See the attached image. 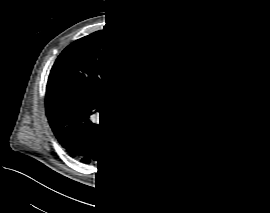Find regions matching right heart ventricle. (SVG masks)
<instances>
[{
    "label": "right heart ventricle",
    "mask_w": 270,
    "mask_h": 213,
    "mask_svg": "<svg viewBox=\"0 0 270 213\" xmlns=\"http://www.w3.org/2000/svg\"><path fill=\"white\" fill-rule=\"evenodd\" d=\"M160 44H161V42H160L159 40L154 41V45H155L156 47H159Z\"/></svg>",
    "instance_id": "right-heart-ventricle-1"
}]
</instances>
